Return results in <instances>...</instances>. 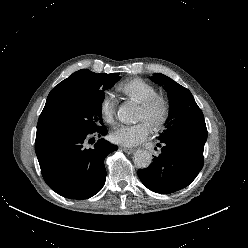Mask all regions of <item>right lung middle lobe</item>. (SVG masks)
I'll return each instance as SVG.
<instances>
[{
  "label": "right lung middle lobe",
  "mask_w": 248,
  "mask_h": 248,
  "mask_svg": "<svg viewBox=\"0 0 248 248\" xmlns=\"http://www.w3.org/2000/svg\"><path fill=\"white\" fill-rule=\"evenodd\" d=\"M85 71L88 81L83 94L60 105L43 109L37 130L49 128L95 132L104 127L101 115L104 91L121 77L118 73L96 74L88 69Z\"/></svg>",
  "instance_id": "right-lung-middle-lobe-1"
}]
</instances>
